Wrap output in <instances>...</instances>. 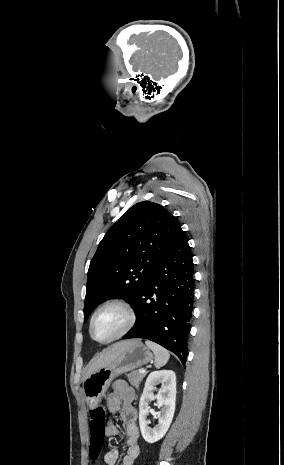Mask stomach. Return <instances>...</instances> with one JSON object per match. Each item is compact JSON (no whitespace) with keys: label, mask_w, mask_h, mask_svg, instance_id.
Instances as JSON below:
<instances>
[{"label":"stomach","mask_w":284,"mask_h":465,"mask_svg":"<svg viewBox=\"0 0 284 465\" xmlns=\"http://www.w3.org/2000/svg\"><path fill=\"white\" fill-rule=\"evenodd\" d=\"M152 359H154L153 353L140 341L127 343L125 351L119 353L114 361H111L106 367L97 369L83 381L82 387L87 405L91 409H96L115 377L121 373H126V371H134L138 367H143Z\"/></svg>","instance_id":"1"}]
</instances>
